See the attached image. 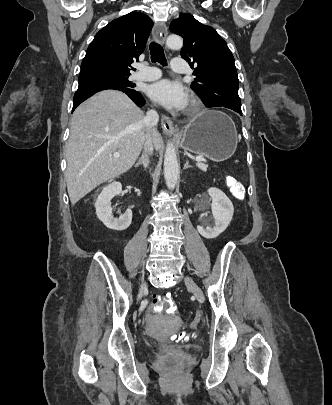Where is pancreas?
<instances>
[{"mask_svg":"<svg viewBox=\"0 0 332 405\" xmlns=\"http://www.w3.org/2000/svg\"><path fill=\"white\" fill-rule=\"evenodd\" d=\"M201 166H199V163H197V167L202 170V171H206L207 165L204 163H200Z\"/></svg>","mask_w":332,"mask_h":405,"instance_id":"1","label":"pancreas"}]
</instances>
